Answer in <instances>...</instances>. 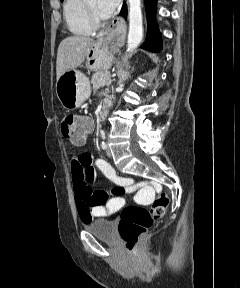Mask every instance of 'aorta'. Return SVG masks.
I'll use <instances>...</instances> for the list:
<instances>
[{"label": "aorta", "instance_id": "obj_1", "mask_svg": "<svg viewBox=\"0 0 240 288\" xmlns=\"http://www.w3.org/2000/svg\"><path fill=\"white\" fill-rule=\"evenodd\" d=\"M128 4L129 33L127 39V51H133L138 47L143 38L141 0H128Z\"/></svg>", "mask_w": 240, "mask_h": 288}]
</instances>
